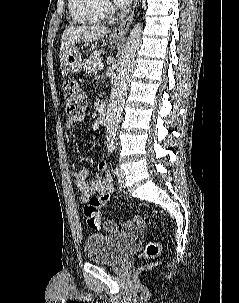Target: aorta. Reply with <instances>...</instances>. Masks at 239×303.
Returning a JSON list of instances; mask_svg holds the SVG:
<instances>
[{
	"label": "aorta",
	"mask_w": 239,
	"mask_h": 303,
	"mask_svg": "<svg viewBox=\"0 0 239 303\" xmlns=\"http://www.w3.org/2000/svg\"><path fill=\"white\" fill-rule=\"evenodd\" d=\"M142 24L137 23L130 31L123 53L118 61L117 77L111 92L106 113V138L113 142L124 108L125 96L130 85L136 52L139 48Z\"/></svg>",
	"instance_id": "1"
}]
</instances>
